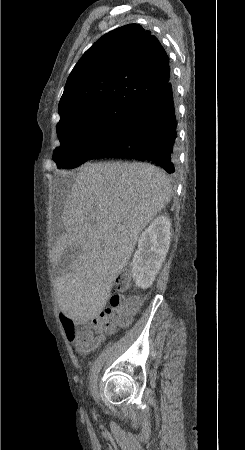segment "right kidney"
I'll return each mask as SVG.
<instances>
[{
	"instance_id": "ca27d5eb",
	"label": "right kidney",
	"mask_w": 245,
	"mask_h": 450,
	"mask_svg": "<svg viewBox=\"0 0 245 450\" xmlns=\"http://www.w3.org/2000/svg\"><path fill=\"white\" fill-rule=\"evenodd\" d=\"M170 227L166 216H158L141 234L132 267L136 286L145 289L153 284L169 249Z\"/></svg>"
}]
</instances>
